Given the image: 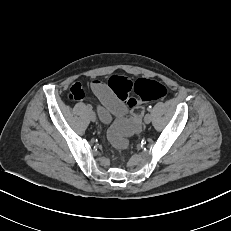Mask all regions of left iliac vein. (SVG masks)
Masks as SVG:
<instances>
[{"label":"left iliac vein","mask_w":231,"mask_h":231,"mask_svg":"<svg viewBox=\"0 0 231 231\" xmlns=\"http://www.w3.org/2000/svg\"><path fill=\"white\" fill-rule=\"evenodd\" d=\"M151 120H152L151 114H150V113H147V114L144 116V122H145L146 124H149V123L151 122Z\"/></svg>","instance_id":"1"}]
</instances>
